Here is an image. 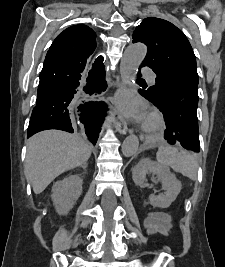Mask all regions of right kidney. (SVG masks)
Here are the masks:
<instances>
[{
	"label": "right kidney",
	"instance_id": "ca27d5eb",
	"mask_svg": "<svg viewBox=\"0 0 225 267\" xmlns=\"http://www.w3.org/2000/svg\"><path fill=\"white\" fill-rule=\"evenodd\" d=\"M82 184L79 175H70L53 185L51 198L58 214L66 215L73 208L82 193Z\"/></svg>",
	"mask_w": 225,
	"mask_h": 267
}]
</instances>
